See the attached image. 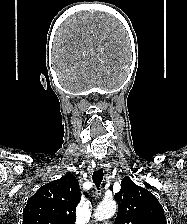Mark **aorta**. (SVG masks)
<instances>
[{
  "mask_svg": "<svg viewBox=\"0 0 187 224\" xmlns=\"http://www.w3.org/2000/svg\"><path fill=\"white\" fill-rule=\"evenodd\" d=\"M116 212V202H103L95 210L94 217L97 221H103L112 217Z\"/></svg>",
  "mask_w": 187,
  "mask_h": 224,
  "instance_id": "aorta-1",
  "label": "aorta"
}]
</instances>
